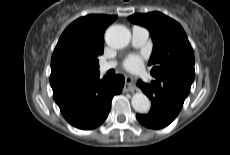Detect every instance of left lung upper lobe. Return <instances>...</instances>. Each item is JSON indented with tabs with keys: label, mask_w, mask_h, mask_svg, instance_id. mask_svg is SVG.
Here are the masks:
<instances>
[{
	"label": "left lung upper lobe",
	"mask_w": 230,
	"mask_h": 155,
	"mask_svg": "<svg viewBox=\"0 0 230 155\" xmlns=\"http://www.w3.org/2000/svg\"><path fill=\"white\" fill-rule=\"evenodd\" d=\"M128 19L150 31L154 43L148 63L153 67L151 75L190 91L195 77L194 53L182 26L160 12L134 14Z\"/></svg>",
	"instance_id": "left-lung-upper-lobe-1"
}]
</instances>
